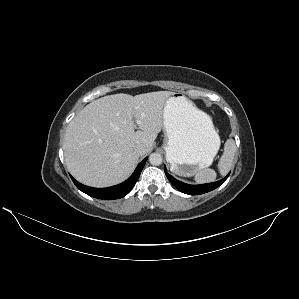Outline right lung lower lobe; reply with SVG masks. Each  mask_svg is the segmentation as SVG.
I'll return each mask as SVG.
<instances>
[{
	"instance_id": "98d812e1",
	"label": "right lung lower lobe",
	"mask_w": 299,
	"mask_h": 299,
	"mask_svg": "<svg viewBox=\"0 0 299 299\" xmlns=\"http://www.w3.org/2000/svg\"><path fill=\"white\" fill-rule=\"evenodd\" d=\"M146 160L147 158L139 163L134 173L125 182L108 188H93L85 186L76 181L73 177L71 178L77 188L89 196L104 200L119 199L124 197L131 191L143 169V166L145 165Z\"/></svg>"
}]
</instances>
